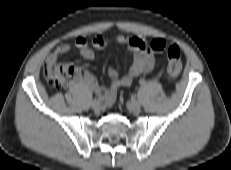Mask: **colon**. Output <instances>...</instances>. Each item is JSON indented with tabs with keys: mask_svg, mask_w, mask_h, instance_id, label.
<instances>
[{
	"mask_svg": "<svg viewBox=\"0 0 231 170\" xmlns=\"http://www.w3.org/2000/svg\"><path fill=\"white\" fill-rule=\"evenodd\" d=\"M150 48L156 52L166 50L168 58L167 77L170 81L176 80L182 69L179 47L177 45L167 46L164 40L154 39L150 43ZM85 73L80 67L64 63L45 64L43 68V74L53 89L66 88L73 80L83 78Z\"/></svg>",
	"mask_w": 231,
	"mask_h": 170,
	"instance_id": "obj_1",
	"label": "colon"
}]
</instances>
